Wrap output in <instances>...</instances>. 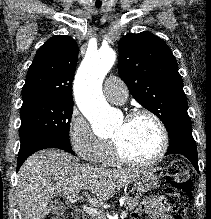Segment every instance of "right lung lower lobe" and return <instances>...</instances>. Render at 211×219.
<instances>
[{
	"mask_svg": "<svg viewBox=\"0 0 211 219\" xmlns=\"http://www.w3.org/2000/svg\"><path fill=\"white\" fill-rule=\"evenodd\" d=\"M45 148H58L69 153L74 154V151L71 148V145H67L56 140L51 139H42L38 141H34L22 148H20L18 153V160H17V171L23 164V162L33 153L38 150L45 149Z\"/></svg>",
	"mask_w": 211,
	"mask_h": 219,
	"instance_id": "right-lung-lower-lobe-1",
	"label": "right lung lower lobe"
}]
</instances>
